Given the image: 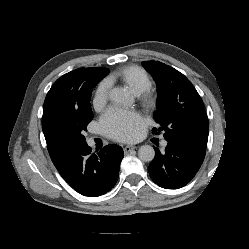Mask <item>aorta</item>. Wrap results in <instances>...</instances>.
<instances>
[{
    "label": "aorta",
    "mask_w": 249,
    "mask_h": 249,
    "mask_svg": "<svg viewBox=\"0 0 249 249\" xmlns=\"http://www.w3.org/2000/svg\"><path fill=\"white\" fill-rule=\"evenodd\" d=\"M110 99L121 105L129 106L133 99L126 88L115 87L110 91ZM138 157L143 162H151L155 157L154 148L150 145H143L138 150Z\"/></svg>",
    "instance_id": "aorta-1"
}]
</instances>
